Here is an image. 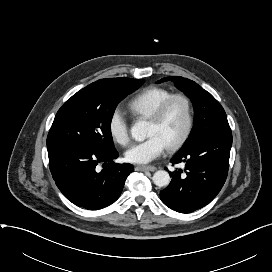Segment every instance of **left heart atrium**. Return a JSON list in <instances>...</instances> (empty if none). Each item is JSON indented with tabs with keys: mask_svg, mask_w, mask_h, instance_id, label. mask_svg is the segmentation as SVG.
<instances>
[{
	"mask_svg": "<svg viewBox=\"0 0 272 272\" xmlns=\"http://www.w3.org/2000/svg\"><path fill=\"white\" fill-rule=\"evenodd\" d=\"M166 143L158 135H151L146 140L132 145L125 158L134 164H146L161 156L167 149Z\"/></svg>",
	"mask_w": 272,
	"mask_h": 272,
	"instance_id": "1",
	"label": "left heart atrium"
}]
</instances>
